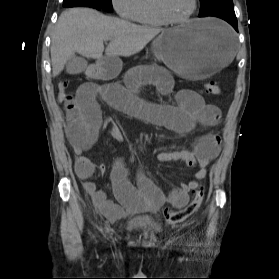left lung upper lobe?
Instances as JSON below:
<instances>
[{
	"label": "left lung upper lobe",
	"instance_id": "1",
	"mask_svg": "<svg viewBox=\"0 0 279 279\" xmlns=\"http://www.w3.org/2000/svg\"><path fill=\"white\" fill-rule=\"evenodd\" d=\"M200 2L199 17L210 16L221 11L234 10L232 0H200Z\"/></svg>",
	"mask_w": 279,
	"mask_h": 279
}]
</instances>
